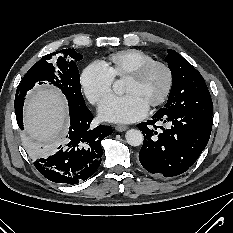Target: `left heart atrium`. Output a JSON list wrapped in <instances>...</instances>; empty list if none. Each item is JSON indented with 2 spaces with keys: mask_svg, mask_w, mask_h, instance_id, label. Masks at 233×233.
<instances>
[{
  "mask_svg": "<svg viewBox=\"0 0 233 233\" xmlns=\"http://www.w3.org/2000/svg\"><path fill=\"white\" fill-rule=\"evenodd\" d=\"M148 106L134 94L110 96L99 107L102 119L111 122L128 123L142 119Z\"/></svg>",
  "mask_w": 233,
  "mask_h": 233,
  "instance_id": "left-heart-atrium-1",
  "label": "left heart atrium"
}]
</instances>
